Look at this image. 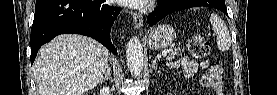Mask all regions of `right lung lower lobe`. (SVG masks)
Instances as JSON below:
<instances>
[{
    "label": "right lung lower lobe",
    "mask_w": 277,
    "mask_h": 95,
    "mask_svg": "<svg viewBox=\"0 0 277 95\" xmlns=\"http://www.w3.org/2000/svg\"><path fill=\"white\" fill-rule=\"evenodd\" d=\"M120 9L105 0H36L31 29V64L39 48L59 34H82L94 38L113 54L110 31Z\"/></svg>",
    "instance_id": "right-lung-lower-lobe-1"
}]
</instances>
